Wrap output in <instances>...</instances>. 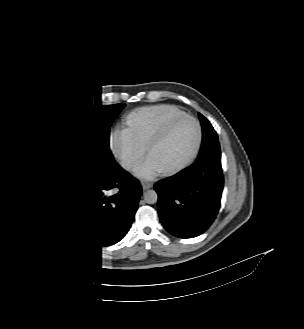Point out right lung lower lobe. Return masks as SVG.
<instances>
[{
    "label": "right lung lower lobe",
    "instance_id": "right-lung-lower-lobe-1",
    "mask_svg": "<svg viewBox=\"0 0 304 329\" xmlns=\"http://www.w3.org/2000/svg\"><path fill=\"white\" fill-rule=\"evenodd\" d=\"M60 188L79 232L99 246L113 245L127 234L142 192L140 183L118 164L63 171Z\"/></svg>",
    "mask_w": 304,
    "mask_h": 329
}]
</instances>
